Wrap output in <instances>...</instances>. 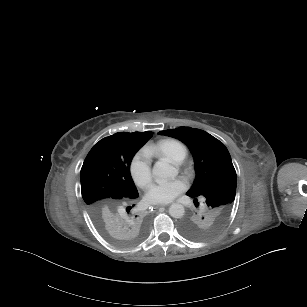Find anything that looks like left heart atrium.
Segmentation results:
<instances>
[{"mask_svg": "<svg viewBox=\"0 0 307 307\" xmlns=\"http://www.w3.org/2000/svg\"><path fill=\"white\" fill-rule=\"evenodd\" d=\"M183 188L180 180L151 182L145 188V198L151 204H167L174 200Z\"/></svg>", "mask_w": 307, "mask_h": 307, "instance_id": "1", "label": "left heart atrium"}]
</instances>
